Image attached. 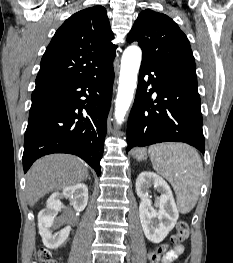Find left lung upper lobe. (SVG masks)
Returning a JSON list of instances; mask_svg holds the SVG:
<instances>
[{"label":"left lung upper lobe","instance_id":"5c2ea615","mask_svg":"<svg viewBox=\"0 0 233 263\" xmlns=\"http://www.w3.org/2000/svg\"><path fill=\"white\" fill-rule=\"evenodd\" d=\"M128 42L138 41L142 61L195 73V60L186 35L168 16L152 10L142 11L127 36Z\"/></svg>","mask_w":233,"mask_h":263}]
</instances>
